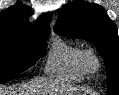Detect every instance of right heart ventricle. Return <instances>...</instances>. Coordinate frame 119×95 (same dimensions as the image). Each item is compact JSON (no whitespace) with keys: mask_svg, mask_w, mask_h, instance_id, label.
<instances>
[{"mask_svg":"<svg viewBox=\"0 0 119 95\" xmlns=\"http://www.w3.org/2000/svg\"><path fill=\"white\" fill-rule=\"evenodd\" d=\"M82 51L75 43L61 38L55 39L45 63V72L68 81L82 80L86 74L81 62Z\"/></svg>","mask_w":119,"mask_h":95,"instance_id":"right-heart-ventricle-1","label":"right heart ventricle"}]
</instances>
